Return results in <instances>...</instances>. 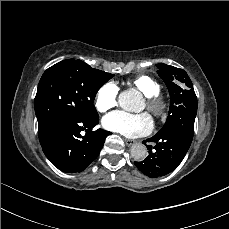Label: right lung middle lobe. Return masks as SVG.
Instances as JSON below:
<instances>
[{"label": "right lung middle lobe", "instance_id": "1", "mask_svg": "<svg viewBox=\"0 0 229 229\" xmlns=\"http://www.w3.org/2000/svg\"><path fill=\"white\" fill-rule=\"evenodd\" d=\"M112 77L74 59L48 68L40 79L34 100L38 135L62 117L98 119L93 101L100 87Z\"/></svg>", "mask_w": 229, "mask_h": 229}]
</instances>
